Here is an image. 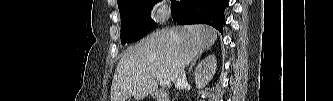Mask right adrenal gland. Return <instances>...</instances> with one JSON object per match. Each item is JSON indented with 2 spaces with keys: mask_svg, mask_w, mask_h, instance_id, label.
Wrapping results in <instances>:
<instances>
[{
  "mask_svg": "<svg viewBox=\"0 0 333 101\" xmlns=\"http://www.w3.org/2000/svg\"><path fill=\"white\" fill-rule=\"evenodd\" d=\"M210 48H207V50H209ZM201 56V53L196 55V57L191 61V65L189 67V71L192 69L193 65H195L197 59Z\"/></svg>",
  "mask_w": 333,
  "mask_h": 101,
  "instance_id": "right-adrenal-gland-1",
  "label": "right adrenal gland"
}]
</instances>
